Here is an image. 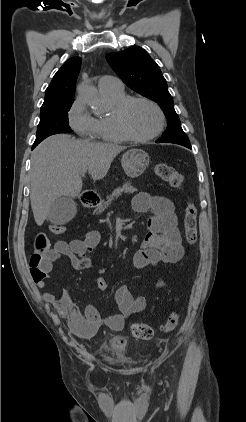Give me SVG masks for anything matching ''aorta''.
I'll list each match as a JSON object with an SVG mask.
<instances>
[{
    "label": "aorta",
    "instance_id": "1",
    "mask_svg": "<svg viewBox=\"0 0 246 422\" xmlns=\"http://www.w3.org/2000/svg\"><path fill=\"white\" fill-rule=\"evenodd\" d=\"M79 97L90 107L97 109L100 105L101 98L98 91L89 83H82L78 87Z\"/></svg>",
    "mask_w": 246,
    "mask_h": 422
}]
</instances>
